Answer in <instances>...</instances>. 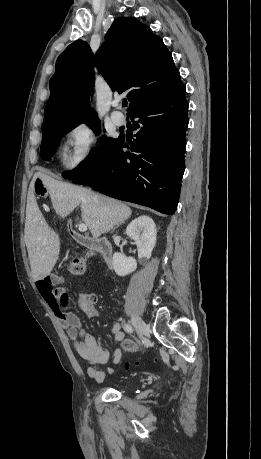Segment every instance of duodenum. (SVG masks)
I'll use <instances>...</instances> for the list:
<instances>
[{
  "instance_id": "410a0bca",
  "label": "duodenum",
  "mask_w": 261,
  "mask_h": 459,
  "mask_svg": "<svg viewBox=\"0 0 261 459\" xmlns=\"http://www.w3.org/2000/svg\"><path fill=\"white\" fill-rule=\"evenodd\" d=\"M74 238L81 245L89 249L97 250L104 259L105 263L109 267L113 266V248L107 239L100 238L98 240H94L89 236L82 235L77 232H74Z\"/></svg>"
}]
</instances>
